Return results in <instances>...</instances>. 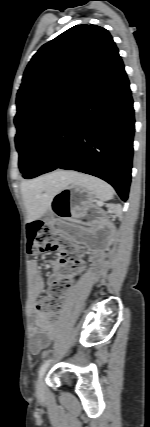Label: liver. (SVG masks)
<instances>
[{
    "label": "liver",
    "mask_w": 150,
    "mask_h": 427,
    "mask_svg": "<svg viewBox=\"0 0 150 427\" xmlns=\"http://www.w3.org/2000/svg\"><path fill=\"white\" fill-rule=\"evenodd\" d=\"M77 173L55 171L21 183V193L29 221L40 218L51 206L55 194L75 180Z\"/></svg>",
    "instance_id": "liver-1"
}]
</instances>
